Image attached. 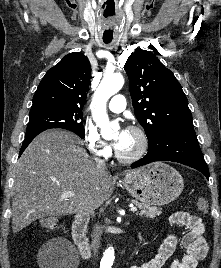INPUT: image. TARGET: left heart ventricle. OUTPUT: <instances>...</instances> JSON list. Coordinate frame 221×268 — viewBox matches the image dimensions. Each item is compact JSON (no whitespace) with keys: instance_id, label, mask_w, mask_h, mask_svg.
<instances>
[{"instance_id":"left-heart-ventricle-1","label":"left heart ventricle","mask_w":221,"mask_h":268,"mask_svg":"<svg viewBox=\"0 0 221 268\" xmlns=\"http://www.w3.org/2000/svg\"><path fill=\"white\" fill-rule=\"evenodd\" d=\"M139 146H140L139 137L135 133L129 131L124 145L120 150H118V152L124 156H130L137 152Z\"/></svg>"}]
</instances>
